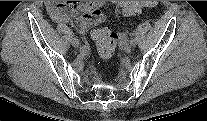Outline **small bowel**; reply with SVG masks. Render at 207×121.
I'll return each mask as SVG.
<instances>
[{
	"label": "small bowel",
	"instance_id": "1",
	"mask_svg": "<svg viewBox=\"0 0 207 121\" xmlns=\"http://www.w3.org/2000/svg\"><path fill=\"white\" fill-rule=\"evenodd\" d=\"M49 16L60 23H78L80 30L86 32L102 22L104 16L100 1H47ZM87 52V50L83 51Z\"/></svg>",
	"mask_w": 207,
	"mask_h": 121
}]
</instances>
